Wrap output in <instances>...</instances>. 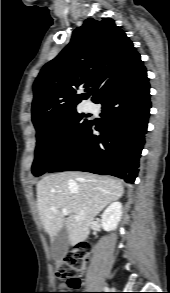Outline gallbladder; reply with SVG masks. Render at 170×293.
Instances as JSON below:
<instances>
[{"label": "gallbladder", "instance_id": "gallbladder-1", "mask_svg": "<svg viewBox=\"0 0 170 293\" xmlns=\"http://www.w3.org/2000/svg\"><path fill=\"white\" fill-rule=\"evenodd\" d=\"M69 246V235L67 228L63 226L51 241V255L55 261H61Z\"/></svg>", "mask_w": 170, "mask_h": 293}]
</instances>
